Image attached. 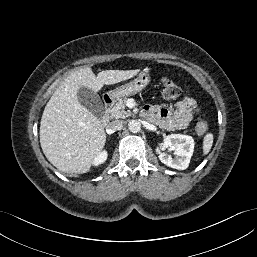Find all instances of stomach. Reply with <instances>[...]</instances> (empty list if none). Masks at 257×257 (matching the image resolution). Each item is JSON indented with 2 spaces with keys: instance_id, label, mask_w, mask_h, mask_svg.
<instances>
[{
  "instance_id": "0dacf381",
  "label": "stomach",
  "mask_w": 257,
  "mask_h": 257,
  "mask_svg": "<svg viewBox=\"0 0 257 257\" xmlns=\"http://www.w3.org/2000/svg\"><path fill=\"white\" fill-rule=\"evenodd\" d=\"M150 79L151 77L149 70H143L132 81L125 83L114 90H111L109 92V96L113 100H118L119 98L136 94L149 84Z\"/></svg>"
}]
</instances>
